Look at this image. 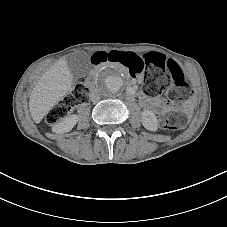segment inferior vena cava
I'll use <instances>...</instances> for the list:
<instances>
[{
	"mask_svg": "<svg viewBox=\"0 0 227 227\" xmlns=\"http://www.w3.org/2000/svg\"><path fill=\"white\" fill-rule=\"evenodd\" d=\"M100 96L98 93V90L96 88H93L90 90V99L92 102H97L99 100Z\"/></svg>",
	"mask_w": 227,
	"mask_h": 227,
	"instance_id": "1",
	"label": "inferior vena cava"
}]
</instances>
